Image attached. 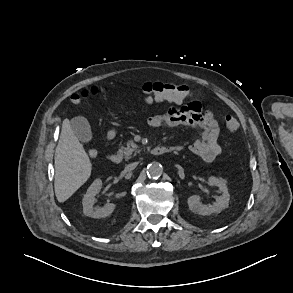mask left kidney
Masks as SVG:
<instances>
[{"instance_id": "left-kidney-1", "label": "left kidney", "mask_w": 293, "mask_h": 293, "mask_svg": "<svg viewBox=\"0 0 293 293\" xmlns=\"http://www.w3.org/2000/svg\"><path fill=\"white\" fill-rule=\"evenodd\" d=\"M208 183L218 187L221 196L216 197V201L211 204H202L200 197L193 195L188 198L187 203L190 211L200 215H210L219 213L229 205L230 195L226 186L225 180L214 176L209 177Z\"/></svg>"}]
</instances>
